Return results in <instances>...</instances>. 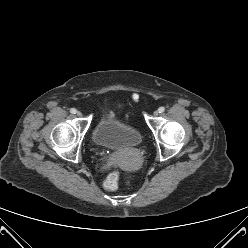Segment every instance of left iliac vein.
<instances>
[{"label": "left iliac vein", "instance_id": "left-iliac-vein-1", "mask_svg": "<svg viewBox=\"0 0 248 248\" xmlns=\"http://www.w3.org/2000/svg\"><path fill=\"white\" fill-rule=\"evenodd\" d=\"M153 115L154 116H158L159 115V111L158 110L154 111Z\"/></svg>", "mask_w": 248, "mask_h": 248}]
</instances>
